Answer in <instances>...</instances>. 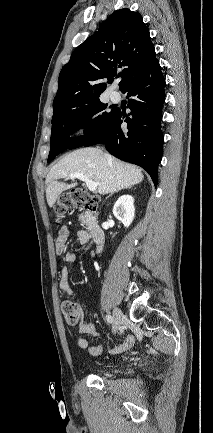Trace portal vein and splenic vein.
<instances>
[{"mask_svg":"<svg viewBox=\"0 0 213 433\" xmlns=\"http://www.w3.org/2000/svg\"><path fill=\"white\" fill-rule=\"evenodd\" d=\"M68 178H70V179L77 178V179L85 182L89 191H91V192H95L97 189V184L94 181H92L90 178H88L87 176L83 175L82 173H71L68 175Z\"/></svg>","mask_w":213,"mask_h":433,"instance_id":"1","label":"portal vein and splenic vein"}]
</instances>
